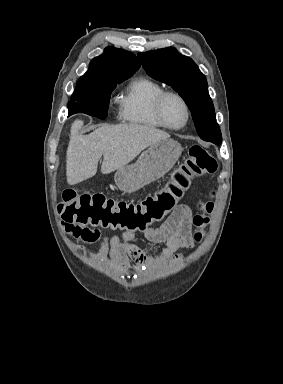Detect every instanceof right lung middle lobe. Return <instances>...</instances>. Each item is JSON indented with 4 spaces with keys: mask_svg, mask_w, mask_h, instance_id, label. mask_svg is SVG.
Segmentation results:
<instances>
[{
    "mask_svg": "<svg viewBox=\"0 0 283 384\" xmlns=\"http://www.w3.org/2000/svg\"><path fill=\"white\" fill-rule=\"evenodd\" d=\"M117 83H107L99 86L75 89L68 103V116L75 113H86L100 119L107 117L110 94Z\"/></svg>",
    "mask_w": 283,
    "mask_h": 384,
    "instance_id": "obj_1",
    "label": "right lung middle lobe"
}]
</instances>
